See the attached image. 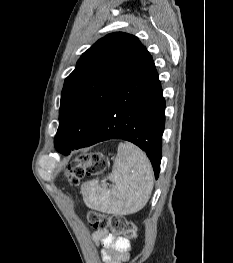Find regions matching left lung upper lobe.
Returning <instances> with one entry per match:
<instances>
[{"instance_id":"5c2ea615","label":"left lung upper lobe","mask_w":233,"mask_h":263,"mask_svg":"<svg viewBox=\"0 0 233 263\" xmlns=\"http://www.w3.org/2000/svg\"><path fill=\"white\" fill-rule=\"evenodd\" d=\"M147 52L137 37L122 32L108 34L84 52L65 80L55 138L84 142Z\"/></svg>"}]
</instances>
